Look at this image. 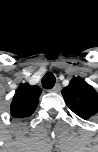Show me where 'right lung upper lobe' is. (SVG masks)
I'll return each mask as SVG.
<instances>
[{
  "instance_id": "right-lung-upper-lobe-1",
  "label": "right lung upper lobe",
  "mask_w": 98,
  "mask_h": 152,
  "mask_svg": "<svg viewBox=\"0 0 98 152\" xmlns=\"http://www.w3.org/2000/svg\"><path fill=\"white\" fill-rule=\"evenodd\" d=\"M41 89L38 86L21 84L11 103V115L15 118L29 117L36 109Z\"/></svg>"
}]
</instances>
